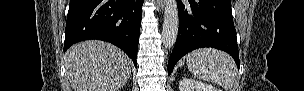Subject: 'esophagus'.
I'll use <instances>...</instances> for the list:
<instances>
[{
	"label": "esophagus",
	"mask_w": 304,
	"mask_h": 91,
	"mask_svg": "<svg viewBox=\"0 0 304 91\" xmlns=\"http://www.w3.org/2000/svg\"><path fill=\"white\" fill-rule=\"evenodd\" d=\"M158 5L163 8L165 5V0H157Z\"/></svg>",
	"instance_id": "34e87169"
}]
</instances>
